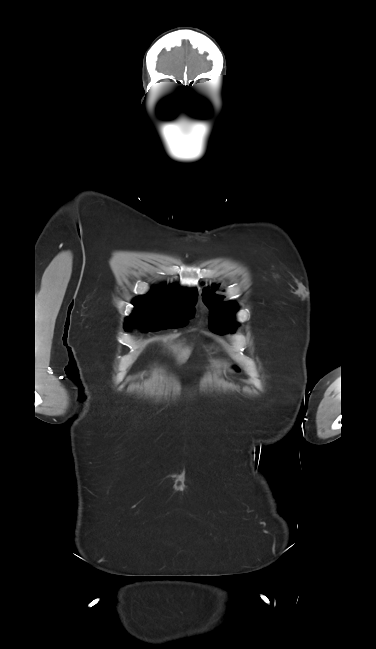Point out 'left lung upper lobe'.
I'll return each mask as SVG.
<instances>
[{
	"label": "left lung upper lobe",
	"mask_w": 376,
	"mask_h": 649,
	"mask_svg": "<svg viewBox=\"0 0 376 649\" xmlns=\"http://www.w3.org/2000/svg\"><path fill=\"white\" fill-rule=\"evenodd\" d=\"M217 288L218 286L214 287L211 294L208 290L202 294L204 303L211 310L210 329L217 334L233 333L239 325L234 321L233 315L237 310V305L234 301L223 302V297L213 294Z\"/></svg>",
	"instance_id": "obj_1"
}]
</instances>
